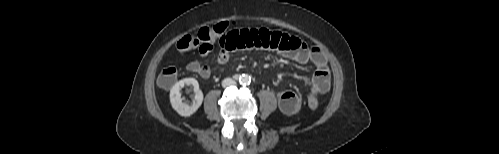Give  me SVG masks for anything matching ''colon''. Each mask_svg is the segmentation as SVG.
Segmentation results:
<instances>
[{
	"label": "colon",
	"instance_id": "colon-1",
	"mask_svg": "<svg viewBox=\"0 0 499 154\" xmlns=\"http://www.w3.org/2000/svg\"><path fill=\"white\" fill-rule=\"evenodd\" d=\"M228 28L227 22H220L215 25L202 27L196 33L188 34L183 36L177 42L176 46L180 51H189L204 42H212L216 38L225 34ZM177 69L175 67L169 66L164 68L158 78V83L161 87L169 89L171 88L177 80ZM308 107L315 111L319 106V99L317 95L309 93L308 95Z\"/></svg>",
	"mask_w": 499,
	"mask_h": 154
}]
</instances>
